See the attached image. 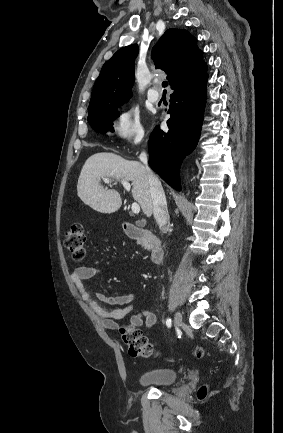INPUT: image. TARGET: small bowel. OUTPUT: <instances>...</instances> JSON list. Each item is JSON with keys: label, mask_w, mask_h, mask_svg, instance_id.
<instances>
[{"label": "small bowel", "mask_w": 283, "mask_h": 433, "mask_svg": "<svg viewBox=\"0 0 283 433\" xmlns=\"http://www.w3.org/2000/svg\"><path fill=\"white\" fill-rule=\"evenodd\" d=\"M100 270L93 266L75 267L71 272V280L79 291L81 298L86 301L94 311L104 318L107 328L115 330L118 325L116 320L122 319L135 311L136 296L133 293L109 296L102 292H97L96 297L99 301L113 306L112 309L102 307L95 299L92 298L84 286V281L88 280L97 274ZM156 323V315L149 309L139 310L130 317L129 324L139 328L143 325L147 329L152 328Z\"/></svg>", "instance_id": "obj_1"}]
</instances>
